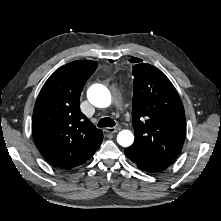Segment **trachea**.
Wrapping results in <instances>:
<instances>
[{
    "label": "trachea",
    "instance_id": "3493384b",
    "mask_svg": "<svg viewBox=\"0 0 221 221\" xmlns=\"http://www.w3.org/2000/svg\"><path fill=\"white\" fill-rule=\"evenodd\" d=\"M115 121L109 117L101 118L98 122V127H113Z\"/></svg>",
    "mask_w": 221,
    "mask_h": 221
}]
</instances>
